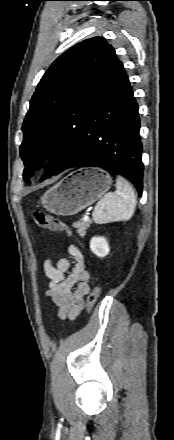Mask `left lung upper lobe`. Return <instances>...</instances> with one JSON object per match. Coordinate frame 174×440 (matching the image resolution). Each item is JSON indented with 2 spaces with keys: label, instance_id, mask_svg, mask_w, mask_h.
<instances>
[{
  "label": "left lung upper lobe",
  "instance_id": "1",
  "mask_svg": "<svg viewBox=\"0 0 174 440\" xmlns=\"http://www.w3.org/2000/svg\"><path fill=\"white\" fill-rule=\"evenodd\" d=\"M118 62L112 46L93 37L71 47L45 72L22 127L20 154L26 182L40 157L54 156L44 180L60 173L78 153L86 117Z\"/></svg>",
  "mask_w": 174,
  "mask_h": 440
}]
</instances>
